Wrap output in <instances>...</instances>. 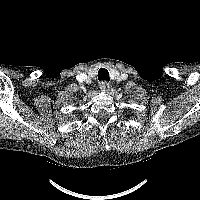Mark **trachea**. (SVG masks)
Instances as JSON below:
<instances>
[{
	"label": "trachea",
	"mask_w": 200,
	"mask_h": 200,
	"mask_svg": "<svg viewBox=\"0 0 200 200\" xmlns=\"http://www.w3.org/2000/svg\"><path fill=\"white\" fill-rule=\"evenodd\" d=\"M99 81H109V72L105 68H100L98 71Z\"/></svg>",
	"instance_id": "1"
}]
</instances>
